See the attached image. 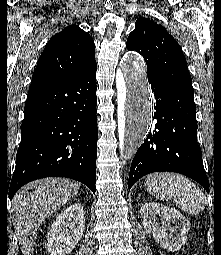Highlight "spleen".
<instances>
[{"label":"spleen","mask_w":221,"mask_h":255,"mask_svg":"<svg viewBox=\"0 0 221 255\" xmlns=\"http://www.w3.org/2000/svg\"><path fill=\"white\" fill-rule=\"evenodd\" d=\"M146 190L161 200H173L189 214L205 209L207 200L202 191L188 178L170 172L153 173L145 180Z\"/></svg>","instance_id":"1"}]
</instances>
